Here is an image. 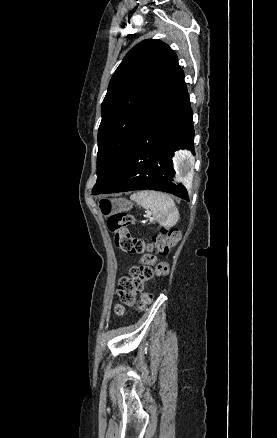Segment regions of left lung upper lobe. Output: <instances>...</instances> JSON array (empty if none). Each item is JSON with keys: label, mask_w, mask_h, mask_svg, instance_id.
Wrapping results in <instances>:
<instances>
[{"label": "left lung upper lobe", "mask_w": 277, "mask_h": 438, "mask_svg": "<svg viewBox=\"0 0 277 438\" xmlns=\"http://www.w3.org/2000/svg\"><path fill=\"white\" fill-rule=\"evenodd\" d=\"M149 97L166 101L181 113H192L177 56L160 40H144L134 46L110 80L101 108L94 195L107 189L121 173L138 115Z\"/></svg>", "instance_id": "left-lung-upper-lobe-1"}]
</instances>
